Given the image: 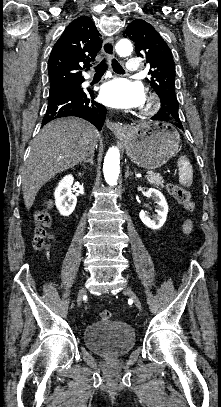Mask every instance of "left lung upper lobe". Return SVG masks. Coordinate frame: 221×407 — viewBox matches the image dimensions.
Returning a JSON list of instances; mask_svg holds the SVG:
<instances>
[{
	"label": "left lung upper lobe",
	"instance_id": "5c2ea615",
	"mask_svg": "<svg viewBox=\"0 0 221 407\" xmlns=\"http://www.w3.org/2000/svg\"><path fill=\"white\" fill-rule=\"evenodd\" d=\"M123 34L134 41L136 54L145 58L150 66L148 82L158 94L161 107L179 118L175 68L170 48L155 28L141 19L132 21Z\"/></svg>",
	"mask_w": 221,
	"mask_h": 407
}]
</instances>
